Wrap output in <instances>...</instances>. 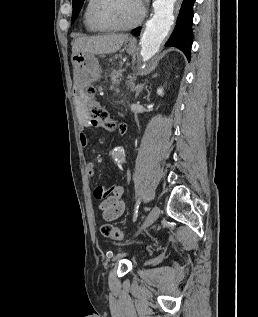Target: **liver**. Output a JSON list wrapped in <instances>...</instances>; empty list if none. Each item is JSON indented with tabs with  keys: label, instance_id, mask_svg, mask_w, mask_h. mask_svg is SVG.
Instances as JSON below:
<instances>
[{
	"label": "liver",
	"instance_id": "6515ba94",
	"mask_svg": "<svg viewBox=\"0 0 258 317\" xmlns=\"http://www.w3.org/2000/svg\"><path fill=\"white\" fill-rule=\"evenodd\" d=\"M129 34H98V36H78L72 42V56L76 52L109 54L121 48Z\"/></svg>",
	"mask_w": 258,
	"mask_h": 317
}]
</instances>
